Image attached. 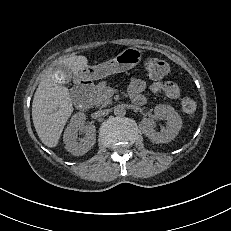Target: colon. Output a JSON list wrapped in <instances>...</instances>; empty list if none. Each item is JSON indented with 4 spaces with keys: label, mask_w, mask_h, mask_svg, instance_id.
I'll use <instances>...</instances> for the list:
<instances>
[{
    "label": "colon",
    "mask_w": 231,
    "mask_h": 231,
    "mask_svg": "<svg viewBox=\"0 0 231 231\" xmlns=\"http://www.w3.org/2000/svg\"><path fill=\"white\" fill-rule=\"evenodd\" d=\"M144 70L151 79L158 80L168 74L169 66L159 58L149 57L144 61ZM181 108L187 116L191 117L197 111V104L193 99L185 97L181 100Z\"/></svg>",
    "instance_id": "1"
}]
</instances>
